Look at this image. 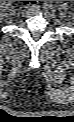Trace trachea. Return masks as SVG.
I'll use <instances>...</instances> for the list:
<instances>
[{"mask_svg":"<svg viewBox=\"0 0 74 122\" xmlns=\"http://www.w3.org/2000/svg\"><path fill=\"white\" fill-rule=\"evenodd\" d=\"M24 3H25V4H29V3H31V4H35L36 1H24Z\"/></svg>","mask_w":74,"mask_h":122,"instance_id":"3493384b","label":"trachea"}]
</instances>
